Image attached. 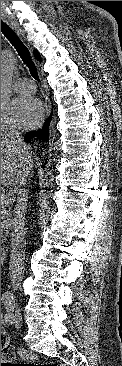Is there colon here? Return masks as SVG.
<instances>
[{
	"mask_svg": "<svg viewBox=\"0 0 122 366\" xmlns=\"http://www.w3.org/2000/svg\"><path fill=\"white\" fill-rule=\"evenodd\" d=\"M1 354L7 359L14 358V352L9 345L8 337L3 329H1ZM23 366H31V364H24Z\"/></svg>",
	"mask_w": 122,
	"mask_h": 366,
	"instance_id": "1",
	"label": "colon"
}]
</instances>
